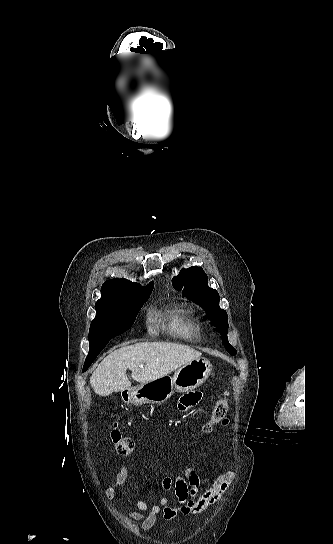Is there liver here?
Segmentation results:
<instances>
[{
  "label": "liver",
  "instance_id": "6515ba94",
  "mask_svg": "<svg viewBox=\"0 0 333 544\" xmlns=\"http://www.w3.org/2000/svg\"><path fill=\"white\" fill-rule=\"evenodd\" d=\"M201 352L182 344L142 342L112 351L92 373L90 384L95 393L109 396L131 388L126 370L141 384L166 376L184 364L200 358ZM144 364L143 368L139 365Z\"/></svg>",
  "mask_w": 333,
  "mask_h": 544
}]
</instances>
